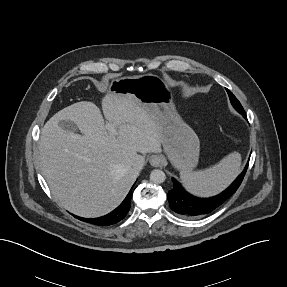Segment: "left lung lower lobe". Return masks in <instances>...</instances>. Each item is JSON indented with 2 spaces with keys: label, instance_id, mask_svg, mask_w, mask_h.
<instances>
[{
  "label": "left lung lower lobe",
  "instance_id": "1",
  "mask_svg": "<svg viewBox=\"0 0 287 287\" xmlns=\"http://www.w3.org/2000/svg\"><path fill=\"white\" fill-rule=\"evenodd\" d=\"M242 115L245 117V113ZM247 167L248 164L226 190L211 198H198L189 194L176 179L172 178L173 187L168 192L170 208L175 213L186 218H197L211 213L237 191L245 176Z\"/></svg>",
  "mask_w": 287,
  "mask_h": 287
}]
</instances>
